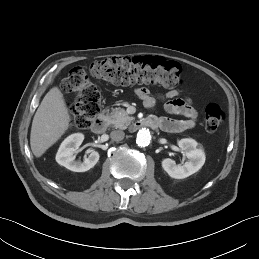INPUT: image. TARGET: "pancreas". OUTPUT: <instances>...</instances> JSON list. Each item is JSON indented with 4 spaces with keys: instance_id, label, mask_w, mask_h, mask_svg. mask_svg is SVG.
Instances as JSON below:
<instances>
[{
    "instance_id": "obj_1",
    "label": "pancreas",
    "mask_w": 259,
    "mask_h": 259,
    "mask_svg": "<svg viewBox=\"0 0 259 259\" xmlns=\"http://www.w3.org/2000/svg\"><path fill=\"white\" fill-rule=\"evenodd\" d=\"M133 117H130L127 112L122 108L112 109L110 114H107L106 120L109 124H112L115 128L126 129L127 126L133 121Z\"/></svg>"
}]
</instances>
